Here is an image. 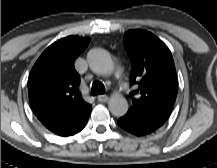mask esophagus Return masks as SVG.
<instances>
[{"label": "esophagus", "instance_id": "esophagus-1", "mask_svg": "<svg viewBox=\"0 0 217 168\" xmlns=\"http://www.w3.org/2000/svg\"><path fill=\"white\" fill-rule=\"evenodd\" d=\"M108 99H109V97L107 96V95H99L98 97H97V100L99 101V102H102V103H105V102H107L108 101Z\"/></svg>", "mask_w": 217, "mask_h": 168}]
</instances>
